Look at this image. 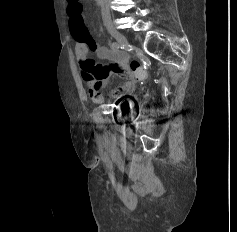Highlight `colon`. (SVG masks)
I'll return each mask as SVG.
<instances>
[{"label":"colon","instance_id":"1","mask_svg":"<svg viewBox=\"0 0 237 232\" xmlns=\"http://www.w3.org/2000/svg\"><path fill=\"white\" fill-rule=\"evenodd\" d=\"M68 13L71 28L77 33H83L86 30V26L83 19V7L79 0H69ZM130 70L138 77H146V71L137 60L130 62Z\"/></svg>","mask_w":237,"mask_h":232}]
</instances>
